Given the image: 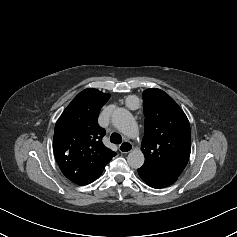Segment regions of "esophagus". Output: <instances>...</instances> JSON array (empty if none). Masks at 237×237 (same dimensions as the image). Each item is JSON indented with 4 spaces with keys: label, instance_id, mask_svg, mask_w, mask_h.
<instances>
[{
    "label": "esophagus",
    "instance_id": "34e87169",
    "mask_svg": "<svg viewBox=\"0 0 237 237\" xmlns=\"http://www.w3.org/2000/svg\"><path fill=\"white\" fill-rule=\"evenodd\" d=\"M132 149H133L132 144L130 142H127V141H125V142H123L122 144L119 145V151L121 153H124V154L131 152Z\"/></svg>",
    "mask_w": 237,
    "mask_h": 237
}]
</instances>
